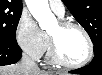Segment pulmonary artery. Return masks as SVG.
<instances>
[{"label":"pulmonary artery","mask_w":102,"mask_h":75,"mask_svg":"<svg viewBox=\"0 0 102 75\" xmlns=\"http://www.w3.org/2000/svg\"><path fill=\"white\" fill-rule=\"evenodd\" d=\"M50 8L59 16L63 17L65 15V5L63 1L60 0H49Z\"/></svg>","instance_id":"pulmonary-artery-1"}]
</instances>
